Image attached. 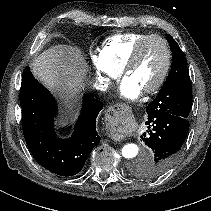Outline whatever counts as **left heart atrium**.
<instances>
[{
	"mask_svg": "<svg viewBox=\"0 0 211 211\" xmlns=\"http://www.w3.org/2000/svg\"><path fill=\"white\" fill-rule=\"evenodd\" d=\"M120 95L126 99H136L142 93L141 88L129 77H125L119 88Z\"/></svg>",
	"mask_w": 211,
	"mask_h": 211,
	"instance_id": "left-heart-atrium-1",
	"label": "left heart atrium"
}]
</instances>
